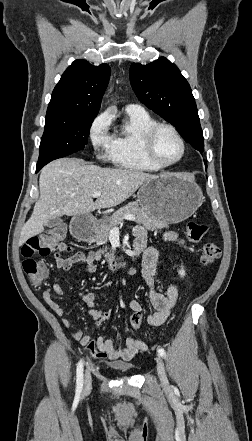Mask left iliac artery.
<instances>
[{"instance_id": "1", "label": "left iliac artery", "mask_w": 252, "mask_h": 441, "mask_svg": "<svg viewBox=\"0 0 252 441\" xmlns=\"http://www.w3.org/2000/svg\"><path fill=\"white\" fill-rule=\"evenodd\" d=\"M157 351L161 357L166 358V352L163 348H159Z\"/></svg>"}]
</instances>
